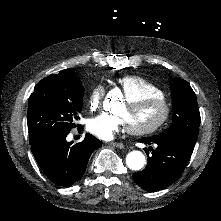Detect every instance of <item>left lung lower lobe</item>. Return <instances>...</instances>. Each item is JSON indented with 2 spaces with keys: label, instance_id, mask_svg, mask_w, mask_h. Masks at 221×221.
Here are the masks:
<instances>
[{
  "label": "left lung lower lobe",
  "instance_id": "left-lung-lower-lobe-1",
  "mask_svg": "<svg viewBox=\"0 0 221 221\" xmlns=\"http://www.w3.org/2000/svg\"><path fill=\"white\" fill-rule=\"evenodd\" d=\"M141 143L157 144L152 156H148L146 168L133 174V179L148 192L162 190L174 183L186 168L195 143L174 134H160L140 139ZM152 150V147H149ZM147 154L149 151L144 149Z\"/></svg>",
  "mask_w": 221,
  "mask_h": 221
}]
</instances>
